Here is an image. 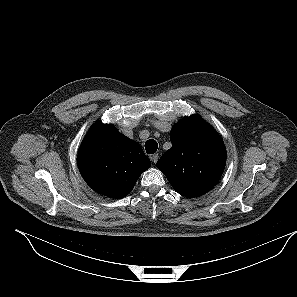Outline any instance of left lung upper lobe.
Listing matches in <instances>:
<instances>
[{
	"mask_svg": "<svg viewBox=\"0 0 297 297\" xmlns=\"http://www.w3.org/2000/svg\"><path fill=\"white\" fill-rule=\"evenodd\" d=\"M170 140L172 147L160 157L157 167L179 194L189 198L206 194L225 168L221 137L199 115H192L174 125Z\"/></svg>",
	"mask_w": 297,
	"mask_h": 297,
	"instance_id": "5c2ea615",
	"label": "left lung upper lobe"
}]
</instances>
